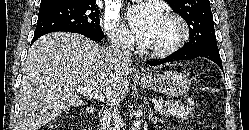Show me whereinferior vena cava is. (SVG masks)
<instances>
[{"label": "inferior vena cava", "mask_w": 249, "mask_h": 130, "mask_svg": "<svg viewBox=\"0 0 249 130\" xmlns=\"http://www.w3.org/2000/svg\"><path fill=\"white\" fill-rule=\"evenodd\" d=\"M110 52L114 61L120 65H128L131 60V47L120 35L111 37ZM107 107L100 111V122L102 130H118L122 121L118 111L119 103L116 101H107Z\"/></svg>", "instance_id": "602c4592"}]
</instances>
